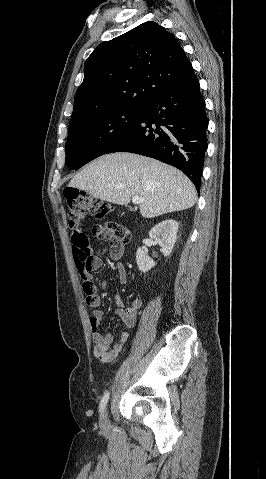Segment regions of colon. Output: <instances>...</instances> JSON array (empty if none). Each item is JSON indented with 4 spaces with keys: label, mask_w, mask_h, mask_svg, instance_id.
<instances>
[{
    "label": "colon",
    "mask_w": 266,
    "mask_h": 479,
    "mask_svg": "<svg viewBox=\"0 0 266 479\" xmlns=\"http://www.w3.org/2000/svg\"><path fill=\"white\" fill-rule=\"evenodd\" d=\"M64 197L69 217L75 266L81 278L86 301L90 306H94L97 303L98 296L96 286L89 278V272L92 268L90 245L87 235L82 230V226L87 214L94 213L96 217L102 218L110 211V208L99 198L75 188L65 189ZM92 232L98 240L107 241L111 244H120L128 239L127 230L113 221L96 224L93 226Z\"/></svg>",
    "instance_id": "5ec220e1"
}]
</instances>
